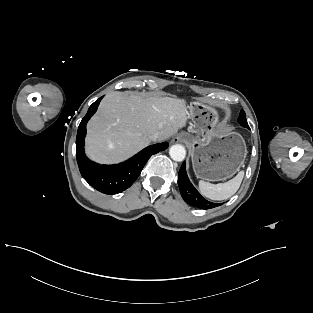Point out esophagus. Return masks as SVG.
I'll return each mask as SVG.
<instances>
[{
    "label": "esophagus",
    "mask_w": 313,
    "mask_h": 313,
    "mask_svg": "<svg viewBox=\"0 0 313 313\" xmlns=\"http://www.w3.org/2000/svg\"><path fill=\"white\" fill-rule=\"evenodd\" d=\"M180 139H179V137H175L174 139H173V142H178Z\"/></svg>",
    "instance_id": "obj_1"
}]
</instances>
